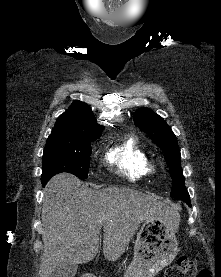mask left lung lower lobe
<instances>
[{
    "instance_id": "obj_1",
    "label": "left lung lower lobe",
    "mask_w": 221,
    "mask_h": 277,
    "mask_svg": "<svg viewBox=\"0 0 221 277\" xmlns=\"http://www.w3.org/2000/svg\"><path fill=\"white\" fill-rule=\"evenodd\" d=\"M183 201H185L189 206H191L190 198H186V199H184Z\"/></svg>"
}]
</instances>
